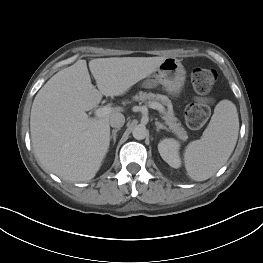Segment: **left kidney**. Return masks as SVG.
<instances>
[{
    "mask_svg": "<svg viewBox=\"0 0 263 263\" xmlns=\"http://www.w3.org/2000/svg\"><path fill=\"white\" fill-rule=\"evenodd\" d=\"M179 148V142L171 138H165L158 144V151L162 159L173 168H179L181 165Z\"/></svg>",
    "mask_w": 263,
    "mask_h": 263,
    "instance_id": "5707ae66",
    "label": "left kidney"
}]
</instances>
